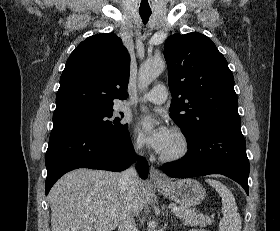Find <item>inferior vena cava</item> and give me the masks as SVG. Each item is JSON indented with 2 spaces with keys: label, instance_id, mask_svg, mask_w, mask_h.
<instances>
[{
  "label": "inferior vena cava",
  "instance_id": "1",
  "mask_svg": "<svg viewBox=\"0 0 280 231\" xmlns=\"http://www.w3.org/2000/svg\"><path fill=\"white\" fill-rule=\"evenodd\" d=\"M139 147H141V145L138 143L137 149H139ZM139 181L140 179L134 167H129L126 171H122L119 179L123 191H126L133 183H139ZM118 231H138L135 225L134 215H131V213H123L121 219H119Z\"/></svg>",
  "mask_w": 280,
  "mask_h": 231
}]
</instances>
